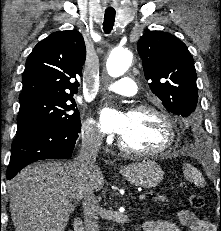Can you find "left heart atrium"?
<instances>
[{"label":"left heart atrium","mask_w":221,"mask_h":231,"mask_svg":"<svg viewBox=\"0 0 221 231\" xmlns=\"http://www.w3.org/2000/svg\"><path fill=\"white\" fill-rule=\"evenodd\" d=\"M128 121V113H120L109 108L100 112V127L106 133L122 135L127 129Z\"/></svg>","instance_id":"39dd6f15"}]
</instances>
